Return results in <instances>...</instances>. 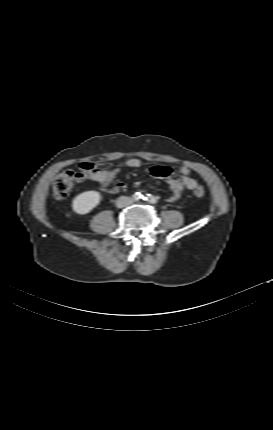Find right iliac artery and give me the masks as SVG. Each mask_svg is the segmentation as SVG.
<instances>
[{"mask_svg": "<svg viewBox=\"0 0 273 430\" xmlns=\"http://www.w3.org/2000/svg\"><path fill=\"white\" fill-rule=\"evenodd\" d=\"M133 197L135 200H139V199L144 198V196L140 192L135 193Z\"/></svg>", "mask_w": 273, "mask_h": 430, "instance_id": "obj_1", "label": "right iliac artery"}]
</instances>
